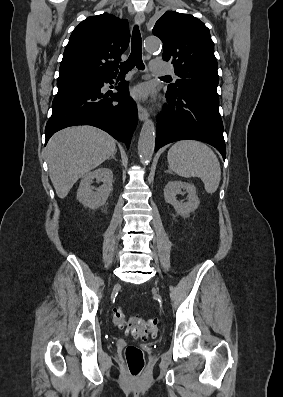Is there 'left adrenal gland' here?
<instances>
[{"instance_id": "a2214340", "label": "left adrenal gland", "mask_w": 283, "mask_h": 397, "mask_svg": "<svg viewBox=\"0 0 283 397\" xmlns=\"http://www.w3.org/2000/svg\"><path fill=\"white\" fill-rule=\"evenodd\" d=\"M166 172L169 173V174H173L170 169H168Z\"/></svg>"}]
</instances>
